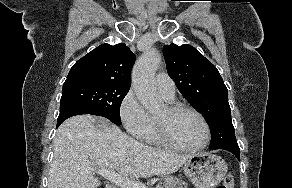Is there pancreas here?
Masks as SVG:
<instances>
[{
    "label": "pancreas",
    "instance_id": "pancreas-1",
    "mask_svg": "<svg viewBox=\"0 0 292 188\" xmlns=\"http://www.w3.org/2000/svg\"><path fill=\"white\" fill-rule=\"evenodd\" d=\"M163 179L164 183L162 188H187L188 185L183 180L173 176H166Z\"/></svg>",
    "mask_w": 292,
    "mask_h": 188
}]
</instances>
